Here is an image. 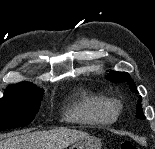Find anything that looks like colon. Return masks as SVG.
<instances>
[{"mask_svg":"<svg viewBox=\"0 0 155 149\" xmlns=\"http://www.w3.org/2000/svg\"><path fill=\"white\" fill-rule=\"evenodd\" d=\"M121 149H138V148L134 143L130 141H125L121 144Z\"/></svg>","mask_w":155,"mask_h":149,"instance_id":"obj_1","label":"colon"}]
</instances>
